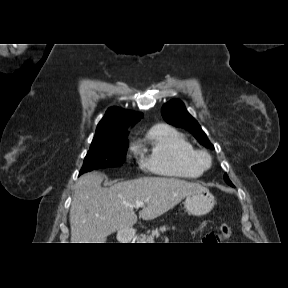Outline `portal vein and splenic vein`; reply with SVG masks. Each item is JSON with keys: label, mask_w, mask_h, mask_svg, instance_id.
Returning a JSON list of instances; mask_svg holds the SVG:
<instances>
[{"label": "portal vein and splenic vein", "mask_w": 288, "mask_h": 288, "mask_svg": "<svg viewBox=\"0 0 288 288\" xmlns=\"http://www.w3.org/2000/svg\"><path fill=\"white\" fill-rule=\"evenodd\" d=\"M145 205L144 202L142 201H139V202H136V204L134 205L135 208H138V207H143Z\"/></svg>", "instance_id": "1"}]
</instances>
